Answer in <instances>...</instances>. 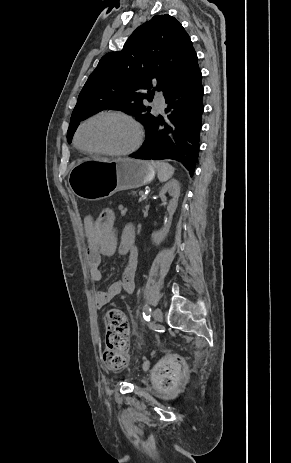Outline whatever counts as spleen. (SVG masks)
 I'll return each instance as SVG.
<instances>
[{"instance_id":"obj_1","label":"spleen","mask_w":291,"mask_h":463,"mask_svg":"<svg viewBox=\"0 0 291 463\" xmlns=\"http://www.w3.org/2000/svg\"><path fill=\"white\" fill-rule=\"evenodd\" d=\"M152 165L157 170V176L160 182L168 181L174 174V167L166 162H152Z\"/></svg>"}]
</instances>
